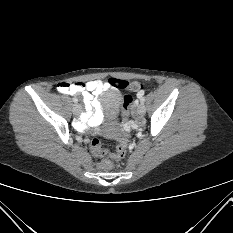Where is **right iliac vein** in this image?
<instances>
[{
    "label": "right iliac vein",
    "instance_id": "1",
    "mask_svg": "<svg viewBox=\"0 0 233 233\" xmlns=\"http://www.w3.org/2000/svg\"><path fill=\"white\" fill-rule=\"evenodd\" d=\"M73 114L78 115L81 112V106L79 104H75L73 106Z\"/></svg>",
    "mask_w": 233,
    "mask_h": 233
}]
</instances>
